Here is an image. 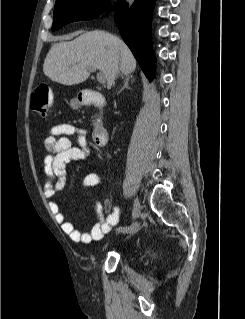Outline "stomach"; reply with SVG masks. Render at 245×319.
<instances>
[{"label": "stomach", "instance_id": "stomach-1", "mask_svg": "<svg viewBox=\"0 0 245 319\" xmlns=\"http://www.w3.org/2000/svg\"><path fill=\"white\" fill-rule=\"evenodd\" d=\"M70 106L73 108V109H78L80 106H81V102L79 101V99L75 98V99H72L70 101Z\"/></svg>", "mask_w": 245, "mask_h": 319}]
</instances>
